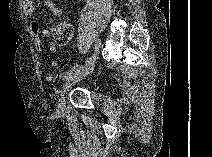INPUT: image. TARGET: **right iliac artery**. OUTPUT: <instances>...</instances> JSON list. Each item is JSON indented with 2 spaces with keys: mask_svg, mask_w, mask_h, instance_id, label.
<instances>
[{
  "mask_svg": "<svg viewBox=\"0 0 212 157\" xmlns=\"http://www.w3.org/2000/svg\"><path fill=\"white\" fill-rule=\"evenodd\" d=\"M95 42V50H94V54L86 61L85 66H80L77 69L74 70H70L68 71L65 76L64 79H69L72 75L77 74L78 72H80L81 69H83L84 67H88L89 65L93 64L96 60L97 54L99 52V49L101 47V41L98 38L94 39Z\"/></svg>",
  "mask_w": 212,
  "mask_h": 157,
  "instance_id": "right-iliac-artery-1",
  "label": "right iliac artery"
}]
</instances>
